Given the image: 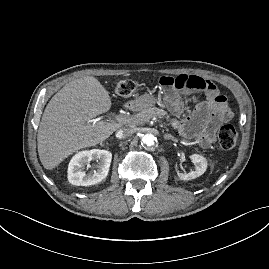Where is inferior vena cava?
Wrapping results in <instances>:
<instances>
[{
	"label": "inferior vena cava",
	"mask_w": 269,
	"mask_h": 269,
	"mask_svg": "<svg viewBox=\"0 0 269 269\" xmlns=\"http://www.w3.org/2000/svg\"><path fill=\"white\" fill-rule=\"evenodd\" d=\"M132 134H133V129L128 128V127H123V128L119 129L116 132V137L119 138V139H121V138L129 137Z\"/></svg>",
	"instance_id": "inferior-vena-cava-1"
}]
</instances>
